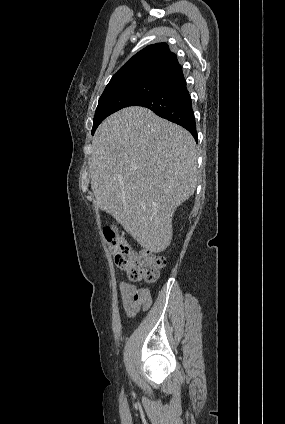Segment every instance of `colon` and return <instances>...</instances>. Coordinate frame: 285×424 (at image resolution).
Returning a JSON list of instances; mask_svg holds the SVG:
<instances>
[{
  "label": "colon",
  "mask_w": 285,
  "mask_h": 424,
  "mask_svg": "<svg viewBox=\"0 0 285 424\" xmlns=\"http://www.w3.org/2000/svg\"><path fill=\"white\" fill-rule=\"evenodd\" d=\"M103 235L107 240L116 265L127 271L132 281L154 282L159 271L165 267L164 257L148 250L136 251L124 233L114 226H105Z\"/></svg>",
  "instance_id": "obj_1"
}]
</instances>
